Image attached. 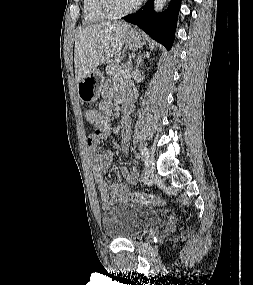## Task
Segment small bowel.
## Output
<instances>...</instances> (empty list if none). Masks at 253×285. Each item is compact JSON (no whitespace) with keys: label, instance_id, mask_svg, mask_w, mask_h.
<instances>
[{"label":"small bowel","instance_id":"1","mask_svg":"<svg viewBox=\"0 0 253 285\" xmlns=\"http://www.w3.org/2000/svg\"><path fill=\"white\" fill-rule=\"evenodd\" d=\"M127 88L117 79H111L105 83L102 89L103 99L99 103V109L96 111V120L93 122L95 131L88 137L87 144L90 149V159L94 179L100 193L103 209H108L115 204L124 203L129 200L130 190L128 183L134 184L138 180L136 170L129 172L126 167H120V171L126 183H109L103 174L109 169L112 161L110 151L100 153L97 151L101 140L107 139L110 134L109 116L113 110L112 99L118 97L119 101L125 105L128 104L126 98ZM130 121L128 115L122 119V142L121 150L126 153L129 149L130 139Z\"/></svg>","mask_w":253,"mask_h":285}]
</instances>
